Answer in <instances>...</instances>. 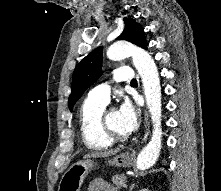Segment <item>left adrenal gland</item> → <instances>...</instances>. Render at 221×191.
<instances>
[{
	"mask_svg": "<svg viewBox=\"0 0 221 191\" xmlns=\"http://www.w3.org/2000/svg\"><path fill=\"white\" fill-rule=\"evenodd\" d=\"M134 187H135V184H131V186L129 187V191H132Z\"/></svg>",
	"mask_w": 221,
	"mask_h": 191,
	"instance_id": "left-adrenal-gland-1",
	"label": "left adrenal gland"
}]
</instances>
